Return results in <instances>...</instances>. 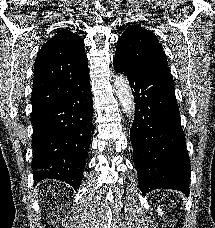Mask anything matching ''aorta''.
I'll return each mask as SVG.
<instances>
[{"label": "aorta", "instance_id": "762f6f07", "mask_svg": "<svg viewBox=\"0 0 215 228\" xmlns=\"http://www.w3.org/2000/svg\"><path fill=\"white\" fill-rule=\"evenodd\" d=\"M115 94L123 108V112L128 116L135 114V102L132 90L126 76L116 74L114 82Z\"/></svg>", "mask_w": 215, "mask_h": 228}]
</instances>
